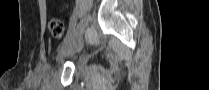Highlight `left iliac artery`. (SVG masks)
Masks as SVG:
<instances>
[{"label": "left iliac artery", "instance_id": "44dca946", "mask_svg": "<svg viewBox=\"0 0 209 90\" xmlns=\"http://www.w3.org/2000/svg\"><path fill=\"white\" fill-rule=\"evenodd\" d=\"M75 12H78V9H75ZM78 19H79V14H73V18L71 19L70 27L67 29L66 32L67 36L65 37L64 41L68 40L70 37L73 36V32L76 30L77 27Z\"/></svg>", "mask_w": 209, "mask_h": 90}]
</instances>
